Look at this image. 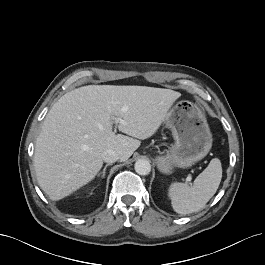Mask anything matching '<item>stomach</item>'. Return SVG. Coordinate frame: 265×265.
<instances>
[{
    "label": "stomach",
    "instance_id": "1",
    "mask_svg": "<svg viewBox=\"0 0 265 265\" xmlns=\"http://www.w3.org/2000/svg\"><path fill=\"white\" fill-rule=\"evenodd\" d=\"M164 124L172 131L174 144L158 156V169L169 174L175 167L188 168L203 159L212 147L204 112L193 102L181 100L168 111Z\"/></svg>",
    "mask_w": 265,
    "mask_h": 265
}]
</instances>
